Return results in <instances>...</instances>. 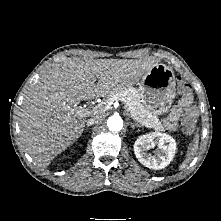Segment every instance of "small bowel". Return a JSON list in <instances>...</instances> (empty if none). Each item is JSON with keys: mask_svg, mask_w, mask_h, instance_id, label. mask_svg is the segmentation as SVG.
Instances as JSON below:
<instances>
[{"mask_svg": "<svg viewBox=\"0 0 221 221\" xmlns=\"http://www.w3.org/2000/svg\"><path fill=\"white\" fill-rule=\"evenodd\" d=\"M196 108L192 105V99L181 98L179 103L174 106L165 119V125L170 130H175L177 127V121L182 115L183 112L193 111L195 112Z\"/></svg>", "mask_w": 221, "mask_h": 221, "instance_id": "small-bowel-1", "label": "small bowel"}]
</instances>
